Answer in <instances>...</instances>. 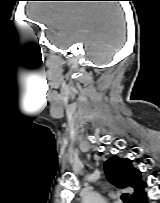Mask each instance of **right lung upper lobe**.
<instances>
[{
  "label": "right lung upper lobe",
  "instance_id": "1",
  "mask_svg": "<svg viewBox=\"0 0 160 203\" xmlns=\"http://www.w3.org/2000/svg\"><path fill=\"white\" fill-rule=\"evenodd\" d=\"M107 178L116 187L132 188L134 193L131 195V203H139L146 193L144 187L146 183L141 180V172L132 165V160L121 159L113 156L104 163Z\"/></svg>",
  "mask_w": 160,
  "mask_h": 203
}]
</instances>
